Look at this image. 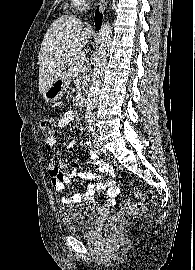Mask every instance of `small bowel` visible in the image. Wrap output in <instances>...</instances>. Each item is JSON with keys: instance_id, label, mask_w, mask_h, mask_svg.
Returning <instances> with one entry per match:
<instances>
[{"instance_id": "1", "label": "small bowel", "mask_w": 195, "mask_h": 270, "mask_svg": "<svg viewBox=\"0 0 195 270\" xmlns=\"http://www.w3.org/2000/svg\"><path fill=\"white\" fill-rule=\"evenodd\" d=\"M74 119L75 113L73 111H66L58 121V128H65ZM77 142L78 141L71 142L68 147H73ZM46 143L51 147L55 146L57 143V137L55 135L48 137ZM86 149L88 151L92 164L98 168L101 174L108 176V179L101 180L102 175L93 172L80 173L78 175L80 179H96L99 181L95 183H87L85 191L82 194L76 193L70 197L63 196L61 198V202L66 205L80 202L93 203L94 196L97 191L107 190L108 205L114 206L116 199L118 198L120 193L119 187L115 184L116 170L110 164L103 161L89 145L86 146ZM65 166L66 164L63 162H51L48 165V172L50 175L51 184L57 192H62L65 188V185L69 184L75 176L74 171H70L67 173L63 172L62 170L65 168Z\"/></svg>"}]
</instances>
